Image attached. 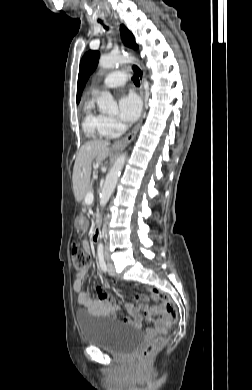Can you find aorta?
<instances>
[{
  "label": "aorta",
  "mask_w": 252,
  "mask_h": 390,
  "mask_svg": "<svg viewBox=\"0 0 252 390\" xmlns=\"http://www.w3.org/2000/svg\"><path fill=\"white\" fill-rule=\"evenodd\" d=\"M135 58L131 57L129 55H123V54H108V55H102L99 59V67L102 69H110L113 68L117 64L121 63H127L134 61ZM97 105L99 109L103 112H114L117 110V103L113 99L110 92L104 91L100 94V96L97 98ZM127 154L123 153L121 154L115 161L113 167L111 168L110 172L106 176L105 183L103 185L102 191L100 193V205L101 207H104L107 202L109 201V198L111 197V194L113 193L118 178L121 174V171L124 167L125 161H126Z\"/></svg>",
  "instance_id": "762f6f07"
}]
</instances>
